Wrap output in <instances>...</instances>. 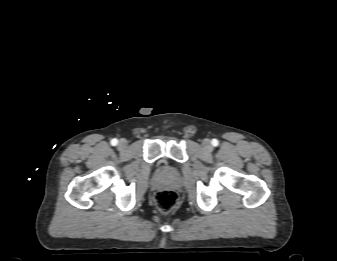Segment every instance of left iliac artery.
<instances>
[{
  "label": "left iliac artery",
  "mask_w": 337,
  "mask_h": 261,
  "mask_svg": "<svg viewBox=\"0 0 337 261\" xmlns=\"http://www.w3.org/2000/svg\"><path fill=\"white\" fill-rule=\"evenodd\" d=\"M211 143L213 146H217L219 142L217 139H213Z\"/></svg>",
  "instance_id": "44dca946"
}]
</instances>
